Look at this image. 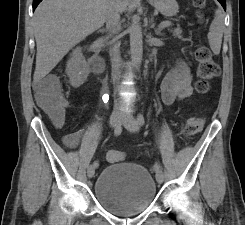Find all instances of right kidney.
Segmentation results:
<instances>
[{
    "mask_svg": "<svg viewBox=\"0 0 245 225\" xmlns=\"http://www.w3.org/2000/svg\"><path fill=\"white\" fill-rule=\"evenodd\" d=\"M66 73L69 77L70 85L74 88L81 86L86 81L90 73V67L80 47L74 49L70 54L66 65Z\"/></svg>",
    "mask_w": 245,
    "mask_h": 225,
    "instance_id": "ca27d5eb",
    "label": "right kidney"
}]
</instances>
